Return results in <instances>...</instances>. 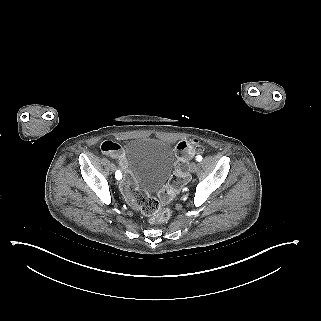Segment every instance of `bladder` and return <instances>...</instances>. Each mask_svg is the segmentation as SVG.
Wrapping results in <instances>:
<instances>
[{
    "label": "bladder",
    "instance_id": "1",
    "mask_svg": "<svg viewBox=\"0 0 321 321\" xmlns=\"http://www.w3.org/2000/svg\"><path fill=\"white\" fill-rule=\"evenodd\" d=\"M124 158L134 183L145 193L158 192L174 164L171 145L150 137L129 140L124 148Z\"/></svg>",
    "mask_w": 321,
    "mask_h": 321
}]
</instances>
